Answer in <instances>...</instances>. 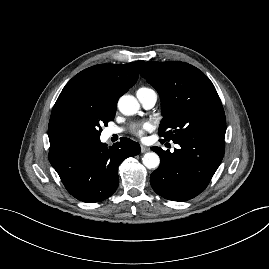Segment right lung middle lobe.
Instances as JSON below:
<instances>
[{
    "instance_id": "1",
    "label": "right lung middle lobe",
    "mask_w": 269,
    "mask_h": 269,
    "mask_svg": "<svg viewBox=\"0 0 269 269\" xmlns=\"http://www.w3.org/2000/svg\"><path fill=\"white\" fill-rule=\"evenodd\" d=\"M115 111L95 108H80L75 113V125L80 134L81 141L98 139L102 125L107 126L109 121L114 119Z\"/></svg>"
}]
</instances>
